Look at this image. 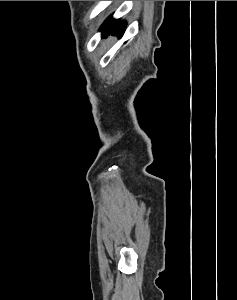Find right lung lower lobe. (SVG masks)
Masks as SVG:
<instances>
[{
    "mask_svg": "<svg viewBox=\"0 0 237 300\" xmlns=\"http://www.w3.org/2000/svg\"><path fill=\"white\" fill-rule=\"evenodd\" d=\"M126 23L109 17L101 27V30L105 35L119 34L122 35L125 31Z\"/></svg>",
    "mask_w": 237,
    "mask_h": 300,
    "instance_id": "right-lung-lower-lobe-1",
    "label": "right lung lower lobe"
}]
</instances>
